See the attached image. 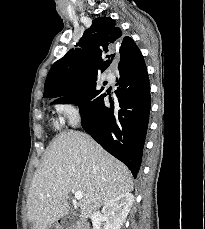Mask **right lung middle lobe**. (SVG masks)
Instances as JSON below:
<instances>
[{
  "mask_svg": "<svg viewBox=\"0 0 205 229\" xmlns=\"http://www.w3.org/2000/svg\"><path fill=\"white\" fill-rule=\"evenodd\" d=\"M95 85H96V82L80 85L75 91H73L69 95L63 98H60V99L61 101L68 102V101L83 97L89 94L93 89H95Z\"/></svg>",
  "mask_w": 205,
  "mask_h": 229,
  "instance_id": "1",
  "label": "right lung middle lobe"
}]
</instances>
